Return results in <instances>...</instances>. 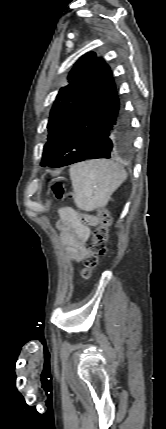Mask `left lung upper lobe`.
Returning a JSON list of instances; mask_svg holds the SVG:
<instances>
[{"label":"left lung upper lobe","instance_id":"5c2ea615","mask_svg":"<svg viewBox=\"0 0 166 429\" xmlns=\"http://www.w3.org/2000/svg\"><path fill=\"white\" fill-rule=\"evenodd\" d=\"M96 54L88 52L76 62L68 75V85L62 87L50 111L48 142L44 145L41 166L53 155L68 124L72 110L82 94L94 68Z\"/></svg>","mask_w":166,"mask_h":429}]
</instances>
